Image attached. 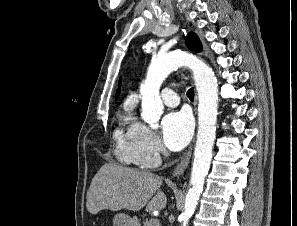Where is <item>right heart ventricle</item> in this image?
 Segmentation results:
<instances>
[{
    "label": "right heart ventricle",
    "mask_w": 297,
    "mask_h": 226,
    "mask_svg": "<svg viewBox=\"0 0 297 226\" xmlns=\"http://www.w3.org/2000/svg\"><path fill=\"white\" fill-rule=\"evenodd\" d=\"M121 121H122V124L127 125V129L126 131H124L122 128H118L114 136L119 145L120 158L123 161L129 162V161H132V158H131L128 136H129L130 127L134 121H132L131 115L129 113L123 114L121 117Z\"/></svg>",
    "instance_id": "right-heart-ventricle-1"
}]
</instances>
